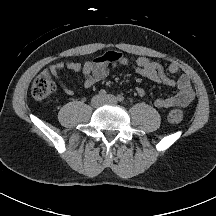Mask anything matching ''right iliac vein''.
Returning a JSON list of instances; mask_svg holds the SVG:
<instances>
[{
	"instance_id": "obj_1",
	"label": "right iliac vein",
	"mask_w": 216,
	"mask_h": 216,
	"mask_svg": "<svg viewBox=\"0 0 216 216\" xmlns=\"http://www.w3.org/2000/svg\"><path fill=\"white\" fill-rule=\"evenodd\" d=\"M104 103L103 98L100 95H96L92 98L91 104L93 107L98 108Z\"/></svg>"
}]
</instances>
